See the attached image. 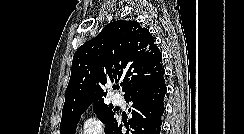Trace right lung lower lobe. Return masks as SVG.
<instances>
[{"instance_id":"98d812e1","label":"right lung lower lobe","mask_w":244,"mask_h":134,"mask_svg":"<svg viewBox=\"0 0 244 134\" xmlns=\"http://www.w3.org/2000/svg\"><path fill=\"white\" fill-rule=\"evenodd\" d=\"M166 90L164 76H162L157 81L128 94L125 99L133 103L132 109H129L132 118L128 122L115 118L105 133L160 134ZM123 126L127 130H124Z\"/></svg>"}]
</instances>
